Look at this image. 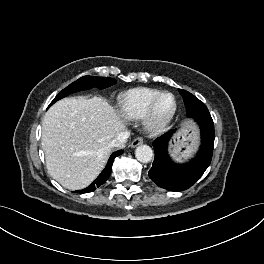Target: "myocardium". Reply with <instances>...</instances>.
<instances>
[{
    "label": "myocardium",
    "instance_id": "1",
    "mask_svg": "<svg viewBox=\"0 0 264 264\" xmlns=\"http://www.w3.org/2000/svg\"><path fill=\"white\" fill-rule=\"evenodd\" d=\"M167 96H170L173 99V108L168 114L160 116L158 114V106L162 99ZM176 112L177 100L175 96L170 92L161 93L158 97L153 100L147 113L143 117V125L145 130L151 135H158L162 133L172 122Z\"/></svg>",
    "mask_w": 264,
    "mask_h": 264
}]
</instances>
